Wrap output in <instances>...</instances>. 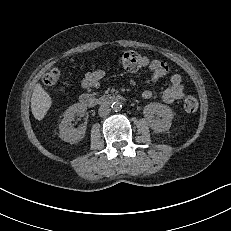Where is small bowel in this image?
I'll return each instance as SVG.
<instances>
[{"instance_id":"1","label":"small bowel","mask_w":231,"mask_h":231,"mask_svg":"<svg viewBox=\"0 0 231 231\" xmlns=\"http://www.w3.org/2000/svg\"><path fill=\"white\" fill-rule=\"evenodd\" d=\"M149 69L151 72V80L154 83L168 76V86L162 92V100L165 103H173L184 97V88L180 74L172 73L169 75L167 64L160 60H152ZM104 75V71L100 69L87 72L81 79L80 85L83 89H97ZM142 97L144 99H151L153 92L151 90H144Z\"/></svg>"}]
</instances>
